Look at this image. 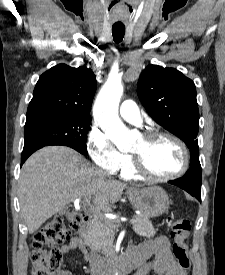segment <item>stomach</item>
Here are the masks:
<instances>
[{"label": "stomach", "mask_w": 225, "mask_h": 275, "mask_svg": "<svg viewBox=\"0 0 225 275\" xmlns=\"http://www.w3.org/2000/svg\"><path fill=\"white\" fill-rule=\"evenodd\" d=\"M127 196L137 210L146 218H155L163 215L169 209L170 199L167 193L159 186H150L143 189L131 188Z\"/></svg>", "instance_id": "0dacf381"}]
</instances>
